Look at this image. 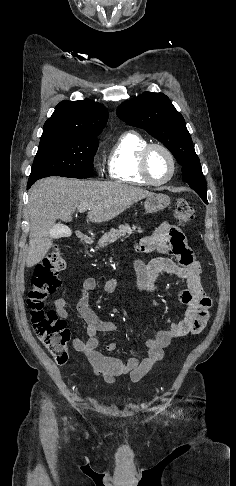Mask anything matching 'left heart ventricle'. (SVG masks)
I'll return each instance as SVG.
<instances>
[{
	"mask_svg": "<svg viewBox=\"0 0 236 486\" xmlns=\"http://www.w3.org/2000/svg\"><path fill=\"white\" fill-rule=\"evenodd\" d=\"M147 166L150 176L156 181L164 180L171 171L169 158L159 149L150 152Z\"/></svg>",
	"mask_w": 236,
	"mask_h": 486,
	"instance_id": "1",
	"label": "left heart ventricle"
}]
</instances>
